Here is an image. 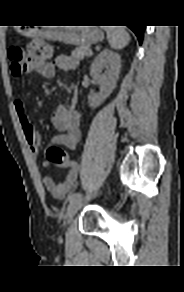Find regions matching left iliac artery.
<instances>
[{
    "label": "left iliac artery",
    "instance_id": "44dca946",
    "mask_svg": "<svg viewBox=\"0 0 184 292\" xmlns=\"http://www.w3.org/2000/svg\"><path fill=\"white\" fill-rule=\"evenodd\" d=\"M81 199H82V194L81 193H74V194H72V195H70L68 197V200H69L70 203L75 201V200H81Z\"/></svg>",
    "mask_w": 184,
    "mask_h": 292
}]
</instances>
